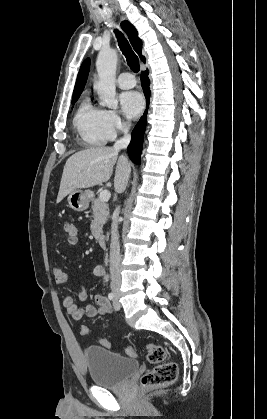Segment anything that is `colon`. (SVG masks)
Here are the masks:
<instances>
[{"instance_id":"colon-1","label":"colon","mask_w":267,"mask_h":419,"mask_svg":"<svg viewBox=\"0 0 267 419\" xmlns=\"http://www.w3.org/2000/svg\"><path fill=\"white\" fill-rule=\"evenodd\" d=\"M64 231L66 233L67 243L70 246H76L79 243L78 228L73 222H66L64 224ZM80 334H89V328L86 325L80 327ZM101 345L105 348L110 347L108 339H102ZM147 352V359L155 366L146 372L141 378V386L144 389H155L168 386L174 383L178 376V367L176 363L168 359L165 349L157 344L148 343L145 346ZM127 352L130 356H136V351L129 347Z\"/></svg>"}]
</instances>
